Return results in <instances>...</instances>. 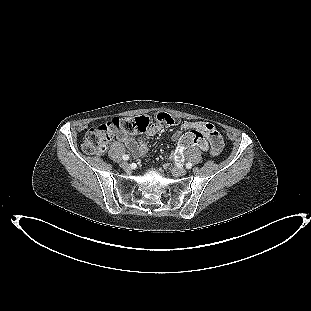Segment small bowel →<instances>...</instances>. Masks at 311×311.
I'll use <instances>...</instances> for the list:
<instances>
[{"instance_id":"1","label":"small bowel","mask_w":311,"mask_h":311,"mask_svg":"<svg viewBox=\"0 0 311 311\" xmlns=\"http://www.w3.org/2000/svg\"><path fill=\"white\" fill-rule=\"evenodd\" d=\"M181 128L184 129H198L201 130L202 132H204V134L206 135V137L209 140V147H208V151L210 154H212L213 156H217L221 153L222 148H223V140L222 137L220 135V133L218 132V130L216 129V127L209 123V122H183V124L181 125ZM161 130L160 127L158 126H153L151 128H149L146 132L147 136H153L156 133H158ZM181 137V132H175L172 135V139L174 141H181L182 139ZM118 139L125 143L128 150L130 151V153L133 156H143L145 155L146 151H147V146L146 143L142 140L137 141L135 139H133L130 135H128L127 133H120L118 136ZM185 148H177L176 149V155L177 156H181L183 151Z\"/></svg>"}]
</instances>
